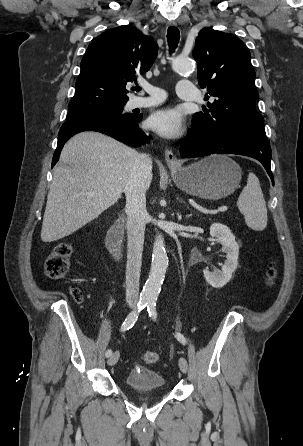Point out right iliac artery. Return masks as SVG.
<instances>
[{
  "label": "right iliac artery",
  "mask_w": 303,
  "mask_h": 446,
  "mask_svg": "<svg viewBox=\"0 0 303 446\" xmlns=\"http://www.w3.org/2000/svg\"><path fill=\"white\" fill-rule=\"evenodd\" d=\"M148 304V300L147 299H140L137 307L135 308V310H133L132 312H130L128 314V316L126 317L125 321L123 322L122 326H121V331H126L129 330L137 321L139 313L142 309H144L146 307V305ZM106 357H110L112 355V350L108 349L105 353Z\"/></svg>",
  "instance_id": "right-iliac-artery-1"
}]
</instances>
